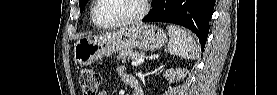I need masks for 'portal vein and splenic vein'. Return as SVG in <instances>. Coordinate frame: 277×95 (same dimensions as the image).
Segmentation results:
<instances>
[{"label": "portal vein and splenic vein", "instance_id": "portal-vein-and-splenic-vein-1", "mask_svg": "<svg viewBox=\"0 0 277 95\" xmlns=\"http://www.w3.org/2000/svg\"><path fill=\"white\" fill-rule=\"evenodd\" d=\"M144 60H145L144 58L138 57L134 61H132L131 64H132V66H139L144 62Z\"/></svg>", "mask_w": 277, "mask_h": 95}]
</instances>
